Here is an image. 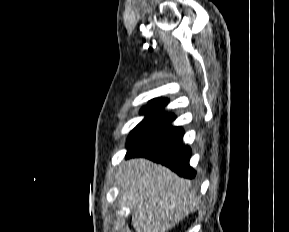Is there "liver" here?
Returning <instances> with one entry per match:
<instances>
[{
  "mask_svg": "<svg viewBox=\"0 0 289 232\" xmlns=\"http://www.w3.org/2000/svg\"><path fill=\"white\" fill-rule=\"evenodd\" d=\"M117 184L120 199L131 210L136 232H166L198 204L189 180L146 158L124 161Z\"/></svg>",
  "mask_w": 289,
  "mask_h": 232,
  "instance_id": "liver-1",
  "label": "liver"
}]
</instances>
